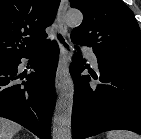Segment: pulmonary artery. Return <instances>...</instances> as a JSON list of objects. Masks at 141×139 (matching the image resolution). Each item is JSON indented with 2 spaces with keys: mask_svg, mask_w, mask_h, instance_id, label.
Here are the masks:
<instances>
[{
  "mask_svg": "<svg viewBox=\"0 0 141 139\" xmlns=\"http://www.w3.org/2000/svg\"><path fill=\"white\" fill-rule=\"evenodd\" d=\"M82 50L86 54V56L89 58L92 66L94 68H98V61L94 52L90 48H87V47H84Z\"/></svg>",
  "mask_w": 141,
  "mask_h": 139,
  "instance_id": "1",
  "label": "pulmonary artery"
}]
</instances>
